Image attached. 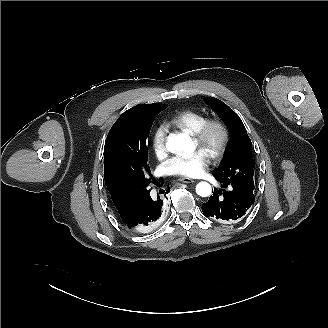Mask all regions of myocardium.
I'll return each instance as SVG.
<instances>
[{
  "instance_id": "1",
  "label": "myocardium",
  "mask_w": 328,
  "mask_h": 328,
  "mask_svg": "<svg viewBox=\"0 0 328 328\" xmlns=\"http://www.w3.org/2000/svg\"><path fill=\"white\" fill-rule=\"evenodd\" d=\"M215 128L220 131L221 134L220 142L216 149L212 151H208L207 150L208 138L210 132ZM191 135H192V141L196 144V146L199 149L205 151L208 154V156L215 161L220 160L225 155L231 140V131L228 124L219 117L206 118L201 123L197 131Z\"/></svg>"
}]
</instances>
